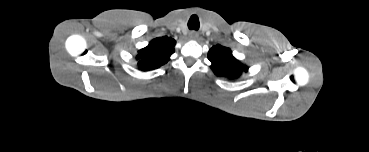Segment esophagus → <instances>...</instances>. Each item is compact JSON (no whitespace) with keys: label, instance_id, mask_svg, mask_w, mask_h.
<instances>
[{"label":"esophagus","instance_id":"34e87169","mask_svg":"<svg viewBox=\"0 0 369 152\" xmlns=\"http://www.w3.org/2000/svg\"><path fill=\"white\" fill-rule=\"evenodd\" d=\"M191 37H192V38H196V37H197V34H196L195 32H192V33H191Z\"/></svg>","mask_w":369,"mask_h":152}]
</instances>
